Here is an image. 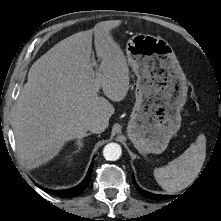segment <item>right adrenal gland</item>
<instances>
[{
    "mask_svg": "<svg viewBox=\"0 0 221 221\" xmlns=\"http://www.w3.org/2000/svg\"><path fill=\"white\" fill-rule=\"evenodd\" d=\"M91 135V133H86L84 136H82L81 138H79L78 140H77V145H78V148H77V150L75 151L76 153L77 152H79L80 150H81V148L83 147V141H82V139L84 138V137H87V136H90Z\"/></svg>",
    "mask_w": 221,
    "mask_h": 221,
    "instance_id": "2a0ac1e0",
    "label": "right adrenal gland"
}]
</instances>
